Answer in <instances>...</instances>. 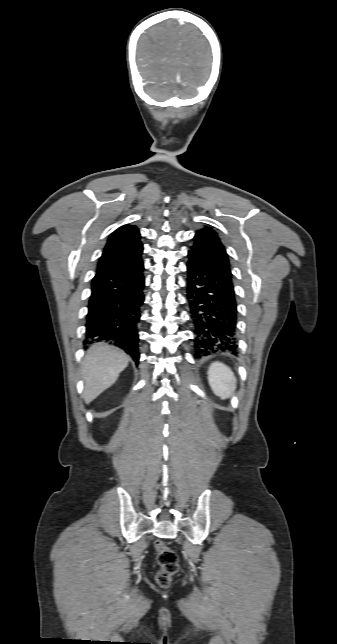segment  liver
Returning <instances> with one entry per match:
<instances>
[{
    "instance_id": "obj_1",
    "label": "liver",
    "mask_w": 337,
    "mask_h": 644,
    "mask_svg": "<svg viewBox=\"0 0 337 644\" xmlns=\"http://www.w3.org/2000/svg\"><path fill=\"white\" fill-rule=\"evenodd\" d=\"M129 356L118 348L96 343L86 353L82 367L83 399L89 404L111 387L128 366Z\"/></svg>"
}]
</instances>
